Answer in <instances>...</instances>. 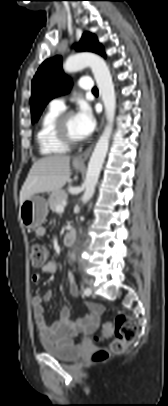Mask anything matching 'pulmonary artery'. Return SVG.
I'll list each match as a JSON object with an SVG mask.
<instances>
[{
    "mask_svg": "<svg viewBox=\"0 0 168 406\" xmlns=\"http://www.w3.org/2000/svg\"><path fill=\"white\" fill-rule=\"evenodd\" d=\"M79 88L83 90H92L93 83L92 79L90 77H82L79 82H78ZM50 106L58 109H64L65 108V101L63 98H55L51 100Z\"/></svg>",
    "mask_w": 168,
    "mask_h": 406,
    "instance_id": "e3ab8cb5",
    "label": "pulmonary artery"
}]
</instances>
